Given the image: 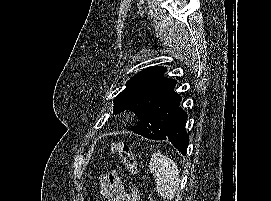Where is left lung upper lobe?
I'll use <instances>...</instances> for the list:
<instances>
[{"mask_svg":"<svg viewBox=\"0 0 271 201\" xmlns=\"http://www.w3.org/2000/svg\"><path fill=\"white\" fill-rule=\"evenodd\" d=\"M165 67L154 66L134 75L114 100L115 114L134 111L142 128L140 135L160 140L165 136L179 95L176 81L164 77Z\"/></svg>","mask_w":271,"mask_h":201,"instance_id":"obj_1","label":"left lung upper lobe"}]
</instances>
